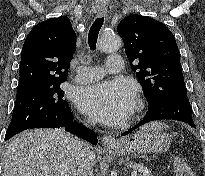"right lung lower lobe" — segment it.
I'll use <instances>...</instances> for the list:
<instances>
[{
	"instance_id": "1",
	"label": "right lung lower lobe",
	"mask_w": 205,
	"mask_h": 176,
	"mask_svg": "<svg viewBox=\"0 0 205 176\" xmlns=\"http://www.w3.org/2000/svg\"><path fill=\"white\" fill-rule=\"evenodd\" d=\"M60 127H63L66 131L71 132L72 134L77 135L80 138L91 142L92 144L97 143V136L92 130L86 128L84 125L78 122H73V114L70 112V109L61 116L41 121L33 125L30 129Z\"/></svg>"
}]
</instances>
